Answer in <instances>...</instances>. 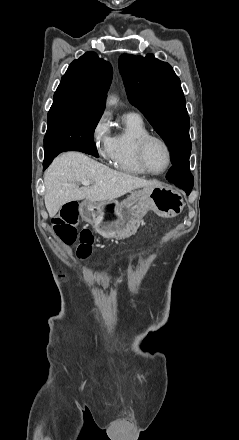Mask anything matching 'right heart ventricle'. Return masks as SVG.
I'll use <instances>...</instances> for the list:
<instances>
[{
  "instance_id": "right-heart-ventricle-1",
  "label": "right heart ventricle",
  "mask_w": 239,
  "mask_h": 440,
  "mask_svg": "<svg viewBox=\"0 0 239 440\" xmlns=\"http://www.w3.org/2000/svg\"><path fill=\"white\" fill-rule=\"evenodd\" d=\"M149 133L141 118L126 116L125 129L114 136V150L110 158L111 165L128 174L145 175L139 164L136 145L143 135Z\"/></svg>"
}]
</instances>
